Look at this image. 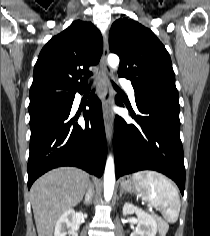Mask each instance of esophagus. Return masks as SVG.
<instances>
[{"mask_svg":"<svg viewBox=\"0 0 210 236\" xmlns=\"http://www.w3.org/2000/svg\"><path fill=\"white\" fill-rule=\"evenodd\" d=\"M109 53L108 38L107 35L103 37V54L101 60L102 74H101V98H102V112L105 126L106 138L109 144L112 141V117L109 113V81H108V67L107 57Z\"/></svg>","mask_w":210,"mask_h":236,"instance_id":"34e87169","label":"esophagus"}]
</instances>
